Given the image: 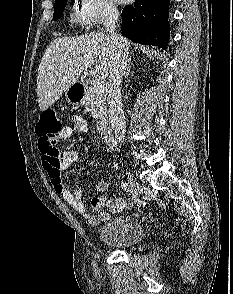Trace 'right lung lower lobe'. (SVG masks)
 Listing matches in <instances>:
<instances>
[{
	"instance_id": "obj_1",
	"label": "right lung lower lobe",
	"mask_w": 233,
	"mask_h": 294,
	"mask_svg": "<svg viewBox=\"0 0 233 294\" xmlns=\"http://www.w3.org/2000/svg\"><path fill=\"white\" fill-rule=\"evenodd\" d=\"M170 0H135L122 11V35L133 42L167 49Z\"/></svg>"
}]
</instances>
